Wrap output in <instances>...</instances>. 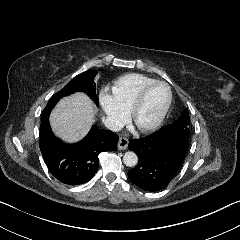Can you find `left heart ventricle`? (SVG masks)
Returning <instances> with one entry per match:
<instances>
[{
	"label": "left heart ventricle",
	"instance_id": "1",
	"mask_svg": "<svg viewBox=\"0 0 240 240\" xmlns=\"http://www.w3.org/2000/svg\"><path fill=\"white\" fill-rule=\"evenodd\" d=\"M167 97V90L164 86L156 85L147 94L143 106L137 114L138 125H145L152 121L160 112Z\"/></svg>",
	"mask_w": 240,
	"mask_h": 240
}]
</instances>
